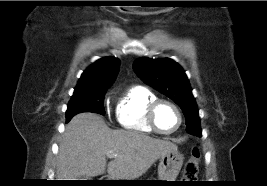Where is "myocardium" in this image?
Returning <instances> with one entry per match:
<instances>
[{
	"label": "myocardium",
	"instance_id": "f54148a6",
	"mask_svg": "<svg viewBox=\"0 0 267 186\" xmlns=\"http://www.w3.org/2000/svg\"><path fill=\"white\" fill-rule=\"evenodd\" d=\"M163 103L168 104L171 107H173L175 109L177 115H178V119H179L178 124L171 131L161 130L156 123V119H155L156 110H157L158 106L160 104H163ZM146 120H147L148 125L152 128V130L154 132L161 134V135H172V134L176 133L180 129V127L182 126L183 113H182L180 107L175 102H173L169 99H165V98H156L147 107Z\"/></svg>",
	"mask_w": 267,
	"mask_h": 186
}]
</instances>
